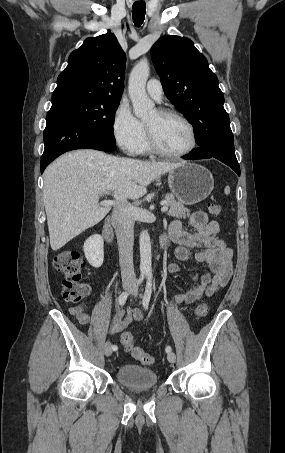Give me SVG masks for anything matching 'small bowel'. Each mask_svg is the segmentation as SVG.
Listing matches in <instances>:
<instances>
[{
    "label": "small bowel",
    "instance_id": "c3829d8e",
    "mask_svg": "<svg viewBox=\"0 0 285 453\" xmlns=\"http://www.w3.org/2000/svg\"><path fill=\"white\" fill-rule=\"evenodd\" d=\"M189 226L193 232L185 230L182 221L173 220L162 237L167 242L177 244L175 249L177 260H190L191 250L197 249L193 255L194 259L208 266V270L193 275V284L189 285L184 293L174 297L175 302L185 305L195 303L204 295H214L220 288L226 286L233 272V253L218 235L220 230L218 222L209 220L205 212L196 211L190 217ZM168 270L171 273H177L180 266L177 262H172L169 264ZM72 312L80 323L89 322L90 317L84 311L73 309ZM144 318V314L136 308L119 309L112 317L109 334L123 332L132 322H140Z\"/></svg>",
    "mask_w": 285,
    "mask_h": 453
}]
</instances>
